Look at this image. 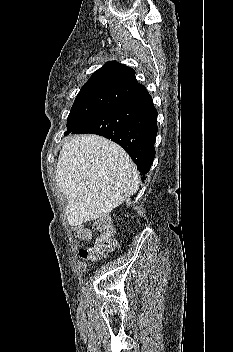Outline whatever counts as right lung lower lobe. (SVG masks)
I'll return each instance as SVG.
<instances>
[{"label": "right lung lower lobe", "mask_w": 233, "mask_h": 352, "mask_svg": "<svg viewBox=\"0 0 233 352\" xmlns=\"http://www.w3.org/2000/svg\"><path fill=\"white\" fill-rule=\"evenodd\" d=\"M157 131V110L145 89L107 108L66 135L91 133L111 139L129 154L145 179L155 157Z\"/></svg>", "instance_id": "obj_1"}]
</instances>
